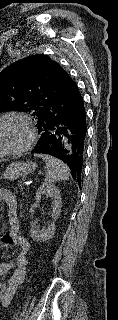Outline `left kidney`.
Instances as JSON below:
<instances>
[{"instance_id":"1","label":"left kidney","mask_w":118,"mask_h":320,"mask_svg":"<svg viewBox=\"0 0 118 320\" xmlns=\"http://www.w3.org/2000/svg\"><path fill=\"white\" fill-rule=\"evenodd\" d=\"M43 196L50 197L52 200V211L51 215L52 217H57L60 213L61 209V196L59 190L51 185V184H43L37 191L36 197L38 200H41ZM51 232L50 226L48 227H43L40 229L38 226H34L31 236L34 239H44L46 238L49 233Z\"/></svg>"}]
</instances>
